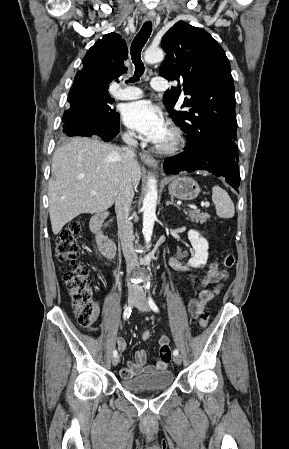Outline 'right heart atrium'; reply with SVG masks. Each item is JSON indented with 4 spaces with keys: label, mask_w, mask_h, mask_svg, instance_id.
Returning <instances> with one entry per match:
<instances>
[{
    "label": "right heart atrium",
    "mask_w": 289,
    "mask_h": 449,
    "mask_svg": "<svg viewBox=\"0 0 289 449\" xmlns=\"http://www.w3.org/2000/svg\"><path fill=\"white\" fill-rule=\"evenodd\" d=\"M131 135L130 134H126V138L130 139Z\"/></svg>",
    "instance_id": "1"
}]
</instances>
